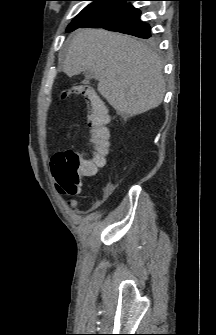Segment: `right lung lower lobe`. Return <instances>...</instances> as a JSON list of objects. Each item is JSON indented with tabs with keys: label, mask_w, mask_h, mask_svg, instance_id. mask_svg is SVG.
I'll return each mask as SVG.
<instances>
[{
	"label": "right lung lower lobe",
	"mask_w": 216,
	"mask_h": 335,
	"mask_svg": "<svg viewBox=\"0 0 216 335\" xmlns=\"http://www.w3.org/2000/svg\"><path fill=\"white\" fill-rule=\"evenodd\" d=\"M128 1L135 0H118L108 9L93 17L80 27H100L139 38H150L151 28L149 24L140 20L141 12L131 4L127 3Z\"/></svg>",
	"instance_id": "98d812e1"
}]
</instances>
